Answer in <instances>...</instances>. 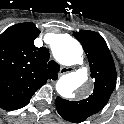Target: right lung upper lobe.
<instances>
[{
  "instance_id": "obj_1",
  "label": "right lung upper lobe",
  "mask_w": 124,
  "mask_h": 124,
  "mask_svg": "<svg viewBox=\"0 0 124 124\" xmlns=\"http://www.w3.org/2000/svg\"><path fill=\"white\" fill-rule=\"evenodd\" d=\"M39 34V29L27 22L13 25L0 35V107L4 110L25 106L48 79L58 78L46 68L48 50L34 45Z\"/></svg>"
}]
</instances>
